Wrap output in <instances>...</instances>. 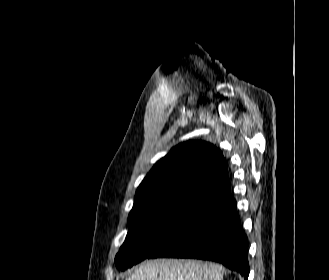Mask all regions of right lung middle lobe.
<instances>
[{
	"label": "right lung middle lobe",
	"mask_w": 329,
	"mask_h": 280,
	"mask_svg": "<svg viewBox=\"0 0 329 280\" xmlns=\"http://www.w3.org/2000/svg\"><path fill=\"white\" fill-rule=\"evenodd\" d=\"M205 203L204 199L177 196L151 202L130 213L125 242L115 257L117 268L125 270L149 258Z\"/></svg>",
	"instance_id": "dd1d6c3e"
}]
</instances>
